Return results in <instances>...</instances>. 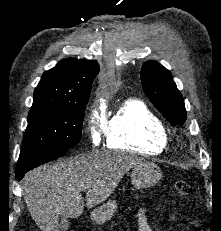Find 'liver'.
Wrapping results in <instances>:
<instances>
[{
  "instance_id": "obj_1",
  "label": "liver",
  "mask_w": 221,
  "mask_h": 231,
  "mask_svg": "<svg viewBox=\"0 0 221 231\" xmlns=\"http://www.w3.org/2000/svg\"><path fill=\"white\" fill-rule=\"evenodd\" d=\"M142 162L124 152L93 151L38 167L23 179L28 210L42 231H59L61 216L77 218L85 202L87 208L101 204L124 174Z\"/></svg>"
}]
</instances>
